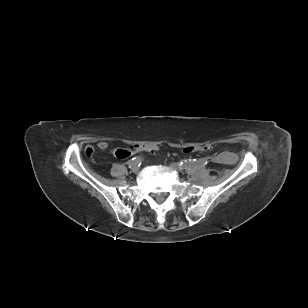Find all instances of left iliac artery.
Wrapping results in <instances>:
<instances>
[{
    "label": "left iliac artery",
    "instance_id": "1",
    "mask_svg": "<svg viewBox=\"0 0 308 308\" xmlns=\"http://www.w3.org/2000/svg\"><path fill=\"white\" fill-rule=\"evenodd\" d=\"M202 164L204 167H209L212 164V159L207 158L206 156H201L200 158H197V159L185 160L184 162L180 163V166L192 168L196 165H202Z\"/></svg>",
    "mask_w": 308,
    "mask_h": 308
}]
</instances>
